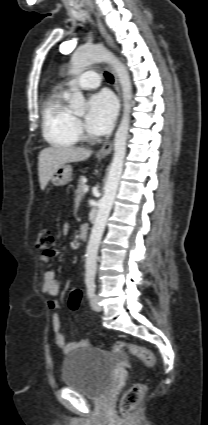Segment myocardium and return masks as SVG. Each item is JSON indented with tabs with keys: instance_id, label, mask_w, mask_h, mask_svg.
I'll return each instance as SVG.
<instances>
[{
	"instance_id": "myocardium-1",
	"label": "myocardium",
	"mask_w": 208,
	"mask_h": 425,
	"mask_svg": "<svg viewBox=\"0 0 208 425\" xmlns=\"http://www.w3.org/2000/svg\"><path fill=\"white\" fill-rule=\"evenodd\" d=\"M78 128H79V132L78 133H79V136L81 137V139H83L85 141H88V140L91 139V137L87 133H85L83 131V129H82L81 124H80L79 121H78Z\"/></svg>"
}]
</instances>
